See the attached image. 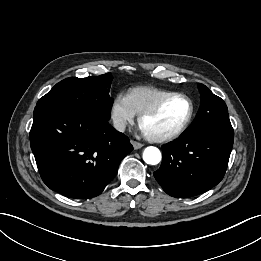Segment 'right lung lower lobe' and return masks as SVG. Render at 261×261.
<instances>
[{"mask_svg": "<svg viewBox=\"0 0 261 261\" xmlns=\"http://www.w3.org/2000/svg\"><path fill=\"white\" fill-rule=\"evenodd\" d=\"M30 145L43 182L70 198L101 194L133 150L129 138L90 112L36 106Z\"/></svg>", "mask_w": 261, "mask_h": 261, "instance_id": "98d812e1", "label": "right lung lower lobe"}]
</instances>
